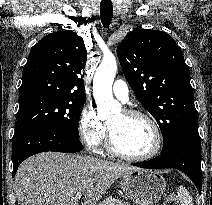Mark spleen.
Listing matches in <instances>:
<instances>
[{
    "label": "spleen",
    "mask_w": 212,
    "mask_h": 205,
    "mask_svg": "<svg viewBox=\"0 0 212 205\" xmlns=\"http://www.w3.org/2000/svg\"><path fill=\"white\" fill-rule=\"evenodd\" d=\"M178 198L181 202V205H194L191 195L184 186H179Z\"/></svg>",
    "instance_id": "3e777b00"
}]
</instances>
